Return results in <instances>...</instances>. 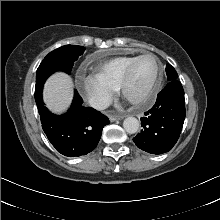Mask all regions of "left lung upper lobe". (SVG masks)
<instances>
[{"mask_svg":"<svg viewBox=\"0 0 220 220\" xmlns=\"http://www.w3.org/2000/svg\"><path fill=\"white\" fill-rule=\"evenodd\" d=\"M166 74H167L168 80H174V79H177L178 77L177 72L170 64L166 65Z\"/></svg>","mask_w":220,"mask_h":220,"instance_id":"obj_1","label":"left lung upper lobe"}]
</instances>
